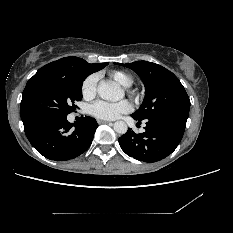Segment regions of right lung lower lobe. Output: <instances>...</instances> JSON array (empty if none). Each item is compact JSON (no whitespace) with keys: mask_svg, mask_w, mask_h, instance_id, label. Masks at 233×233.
<instances>
[{"mask_svg":"<svg viewBox=\"0 0 233 233\" xmlns=\"http://www.w3.org/2000/svg\"><path fill=\"white\" fill-rule=\"evenodd\" d=\"M66 117H50L24 128L32 146L48 159H73L85 152L92 143L98 127L96 120L85 116L78 123H70Z\"/></svg>","mask_w":233,"mask_h":233,"instance_id":"98d812e1","label":"right lung lower lobe"}]
</instances>
